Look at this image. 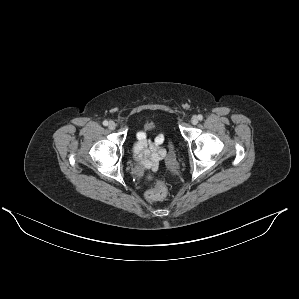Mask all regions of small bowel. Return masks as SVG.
Wrapping results in <instances>:
<instances>
[{
	"label": "small bowel",
	"instance_id": "small-bowel-1",
	"mask_svg": "<svg viewBox=\"0 0 299 299\" xmlns=\"http://www.w3.org/2000/svg\"><path fill=\"white\" fill-rule=\"evenodd\" d=\"M162 144L163 137L160 134L152 139L148 137L146 132L141 131L137 134V141L133 146V152L136 160L144 170H157L160 160L165 155Z\"/></svg>",
	"mask_w": 299,
	"mask_h": 299
}]
</instances>
